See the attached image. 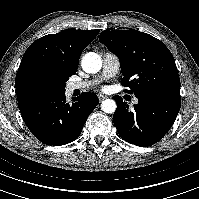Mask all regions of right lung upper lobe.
I'll return each mask as SVG.
<instances>
[{"label":"right lung upper lobe","instance_id":"obj_1","mask_svg":"<svg viewBox=\"0 0 199 199\" xmlns=\"http://www.w3.org/2000/svg\"><path fill=\"white\" fill-rule=\"evenodd\" d=\"M99 31L69 29L34 41L24 53L16 74L18 103L28 101L24 92L28 80L34 76L45 78L56 85L66 83L77 71L82 50Z\"/></svg>","mask_w":199,"mask_h":199}]
</instances>
